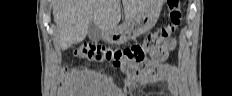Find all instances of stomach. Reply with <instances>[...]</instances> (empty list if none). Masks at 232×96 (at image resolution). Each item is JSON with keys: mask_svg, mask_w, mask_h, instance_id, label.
<instances>
[{"mask_svg": "<svg viewBox=\"0 0 232 96\" xmlns=\"http://www.w3.org/2000/svg\"><path fill=\"white\" fill-rule=\"evenodd\" d=\"M162 4L161 0L149 1L132 21H126L115 29L105 31L104 40L113 45H120L150 31L159 18Z\"/></svg>", "mask_w": 232, "mask_h": 96, "instance_id": "0dacf381", "label": "stomach"}]
</instances>
